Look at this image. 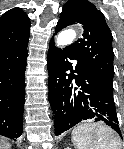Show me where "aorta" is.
<instances>
[{"label": "aorta", "mask_w": 124, "mask_h": 149, "mask_svg": "<svg viewBox=\"0 0 124 149\" xmlns=\"http://www.w3.org/2000/svg\"><path fill=\"white\" fill-rule=\"evenodd\" d=\"M76 38V32L72 29L61 31L56 37V42L59 46L71 44Z\"/></svg>", "instance_id": "762f6f07"}]
</instances>
